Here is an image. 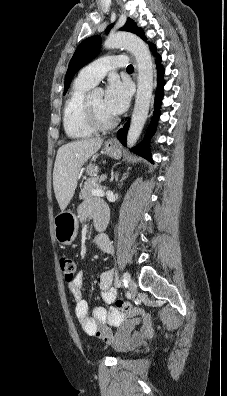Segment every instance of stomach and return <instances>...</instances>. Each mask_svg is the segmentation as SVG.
Wrapping results in <instances>:
<instances>
[{"label": "stomach", "mask_w": 227, "mask_h": 396, "mask_svg": "<svg viewBox=\"0 0 227 396\" xmlns=\"http://www.w3.org/2000/svg\"><path fill=\"white\" fill-rule=\"evenodd\" d=\"M104 152L113 158L121 156V150L117 145L105 143ZM98 167L89 165L87 173L95 176ZM78 232V219L76 215L70 211H62L54 218V233L56 240L63 245H70L76 238Z\"/></svg>", "instance_id": "stomach-1"}]
</instances>
